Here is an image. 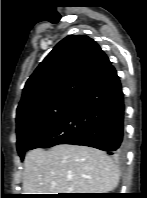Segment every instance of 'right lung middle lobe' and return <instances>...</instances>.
<instances>
[{"label": "right lung middle lobe", "instance_id": "obj_1", "mask_svg": "<svg viewBox=\"0 0 147 198\" xmlns=\"http://www.w3.org/2000/svg\"><path fill=\"white\" fill-rule=\"evenodd\" d=\"M75 100H57L40 105L16 119L17 151L21 159L71 109Z\"/></svg>", "mask_w": 147, "mask_h": 198}]
</instances>
